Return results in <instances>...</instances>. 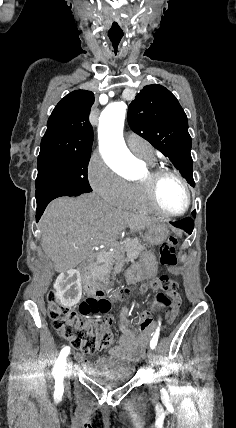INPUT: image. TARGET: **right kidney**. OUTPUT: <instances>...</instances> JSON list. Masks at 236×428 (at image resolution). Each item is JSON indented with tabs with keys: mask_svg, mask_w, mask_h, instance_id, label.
Returning <instances> with one entry per match:
<instances>
[{
	"mask_svg": "<svg viewBox=\"0 0 236 428\" xmlns=\"http://www.w3.org/2000/svg\"><path fill=\"white\" fill-rule=\"evenodd\" d=\"M56 298L61 300L63 306H75L81 300L82 288L80 274L76 269H64L62 276L56 279L54 286ZM68 290H73L68 292Z\"/></svg>",
	"mask_w": 236,
	"mask_h": 428,
	"instance_id": "right-kidney-1",
	"label": "right kidney"
}]
</instances>
